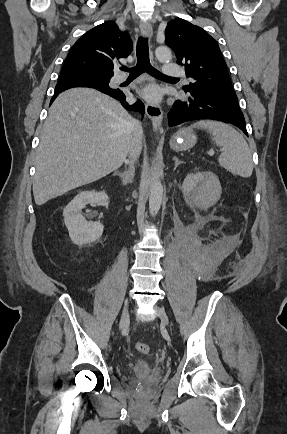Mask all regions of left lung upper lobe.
Instances as JSON below:
<instances>
[{
    "label": "left lung upper lobe",
    "mask_w": 287,
    "mask_h": 434,
    "mask_svg": "<svg viewBox=\"0 0 287 434\" xmlns=\"http://www.w3.org/2000/svg\"><path fill=\"white\" fill-rule=\"evenodd\" d=\"M166 44L175 52L177 63L194 79L185 92L204 90L236 96L218 43L204 29L176 18L166 27Z\"/></svg>",
    "instance_id": "5c2ea615"
}]
</instances>
